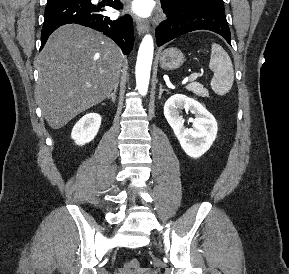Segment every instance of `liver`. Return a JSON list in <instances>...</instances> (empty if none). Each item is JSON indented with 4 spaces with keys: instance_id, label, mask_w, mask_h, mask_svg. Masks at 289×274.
Returning a JSON list of instances; mask_svg holds the SVG:
<instances>
[{
    "instance_id": "1",
    "label": "liver",
    "mask_w": 289,
    "mask_h": 274,
    "mask_svg": "<svg viewBox=\"0 0 289 274\" xmlns=\"http://www.w3.org/2000/svg\"><path fill=\"white\" fill-rule=\"evenodd\" d=\"M123 55L109 38L80 25H64L38 60L35 97L49 126L60 129L106 99L118 84Z\"/></svg>"
}]
</instances>
